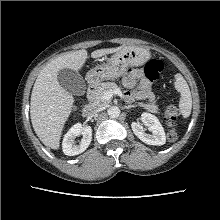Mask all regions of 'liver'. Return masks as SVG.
Here are the masks:
<instances>
[{
	"label": "liver",
	"instance_id": "1",
	"mask_svg": "<svg viewBox=\"0 0 220 220\" xmlns=\"http://www.w3.org/2000/svg\"><path fill=\"white\" fill-rule=\"evenodd\" d=\"M124 46L95 50L92 58L116 53ZM85 49L55 58L39 73L31 94L30 117L35 133L46 146L58 149L66 121L73 110L74 97L58 82L57 74L62 69L78 71L87 59Z\"/></svg>",
	"mask_w": 220,
	"mask_h": 220
}]
</instances>
